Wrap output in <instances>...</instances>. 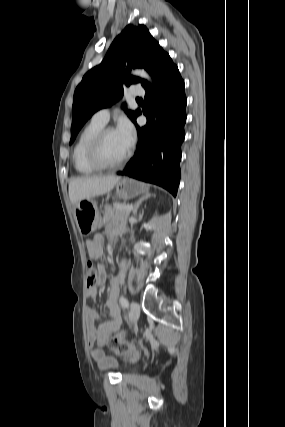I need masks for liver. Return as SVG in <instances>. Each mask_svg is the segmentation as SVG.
<instances>
[{"label":"liver","instance_id":"1","mask_svg":"<svg viewBox=\"0 0 285 427\" xmlns=\"http://www.w3.org/2000/svg\"><path fill=\"white\" fill-rule=\"evenodd\" d=\"M119 180L120 177L115 175L74 178L69 182L70 201L76 206L83 200L103 195L111 191Z\"/></svg>","mask_w":285,"mask_h":427}]
</instances>
